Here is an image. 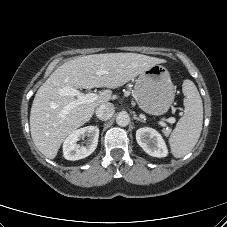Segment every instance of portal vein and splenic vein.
<instances>
[{
    "mask_svg": "<svg viewBox=\"0 0 227 227\" xmlns=\"http://www.w3.org/2000/svg\"><path fill=\"white\" fill-rule=\"evenodd\" d=\"M105 73V71L100 70L99 74H103ZM59 94L61 96H75L77 97L76 100L72 101L71 103L67 104L64 107V110L62 111L63 114H67L69 110L73 109L74 107L81 105V104H85V103H92L95 100H97L98 95L95 93H88V94H84L81 93L80 91L76 90L75 88H71V87H64L62 89H60ZM167 122L169 123H175L176 119L174 117H170L168 119H166ZM160 124H164L163 120L159 121Z\"/></svg>",
    "mask_w": 227,
    "mask_h": 227,
    "instance_id": "1",
    "label": "portal vein and splenic vein"
}]
</instances>
